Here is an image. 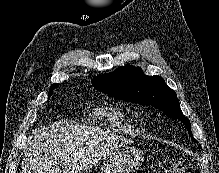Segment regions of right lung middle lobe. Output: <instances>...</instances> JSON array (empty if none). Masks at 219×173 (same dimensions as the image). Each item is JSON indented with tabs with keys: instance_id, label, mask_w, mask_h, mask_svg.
Listing matches in <instances>:
<instances>
[{
	"instance_id": "obj_1",
	"label": "right lung middle lobe",
	"mask_w": 219,
	"mask_h": 173,
	"mask_svg": "<svg viewBox=\"0 0 219 173\" xmlns=\"http://www.w3.org/2000/svg\"><path fill=\"white\" fill-rule=\"evenodd\" d=\"M58 85H55V86H51L50 89H49V97L51 96L53 90L55 89V87H57Z\"/></svg>"
}]
</instances>
